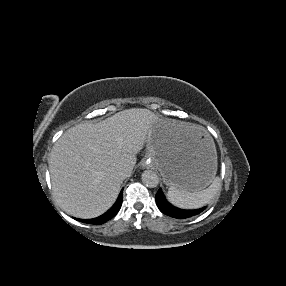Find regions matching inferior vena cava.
Returning <instances> with one entry per match:
<instances>
[{
	"label": "inferior vena cava",
	"instance_id": "1",
	"mask_svg": "<svg viewBox=\"0 0 286 286\" xmlns=\"http://www.w3.org/2000/svg\"><path fill=\"white\" fill-rule=\"evenodd\" d=\"M127 172H128V171H127L126 167L123 166V165H118V166L115 168V173H116L118 176L122 177V178L127 177V174H128Z\"/></svg>",
	"mask_w": 286,
	"mask_h": 286
}]
</instances>
